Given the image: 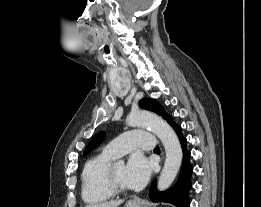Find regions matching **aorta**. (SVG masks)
Instances as JSON below:
<instances>
[{
  "instance_id": "aorta-1",
  "label": "aorta",
  "mask_w": 261,
  "mask_h": 207,
  "mask_svg": "<svg viewBox=\"0 0 261 207\" xmlns=\"http://www.w3.org/2000/svg\"><path fill=\"white\" fill-rule=\"evenodd\" d=\"M126 124L130 127L149 128L162 141L166 159L157 188L160 191L166 190L174 181L183 158L182 148L176 133L162 118L145 110L130 113Z\"/></svg>"
}]
</instances>
